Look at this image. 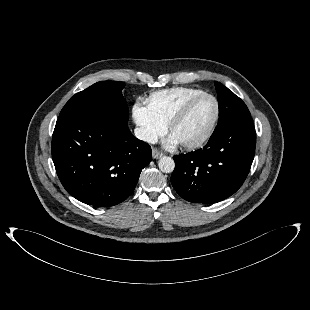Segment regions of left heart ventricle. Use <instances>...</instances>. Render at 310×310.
I'll list each match as a JSON object with an SVG mask.
<instances>
[{
    "mask_svg": "<svg viewBox=\"0 0 310 310\" xmlns=\"http://www.w3.org/2000/svg\"><path fill=\"white\" fill-rule=\"evenodd\" d=\"M215 114V104L210 98L196 102L187 116L173 130L172 135L181 142H191L207 130Z\"/></svg>",
    "mask_w": 310,
    "mask_h": 310,
    "instance_id": "left-heart-ventricle-1",
    "label": "left heart ventricle"
}]
</instances>
